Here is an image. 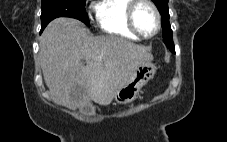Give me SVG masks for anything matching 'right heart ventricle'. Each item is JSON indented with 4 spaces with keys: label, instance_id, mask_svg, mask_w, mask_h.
I'll return each mask as SVG.
<instances>
[{
    "label": "right heart ventricle",
    "instance_id": "obj_1",
    "mask_svg": "<svg viewBox=\"0 0 227 142\" xmlns=\"http://www.w3.org/2000/svg\"><path fill=\"white\" fill-rule=\"evenodd\" d=\"M132 0H100L95 6L99 29L110 36L137 41L139 37L128 27L126 10Z\"/></svg>",
    "mask_w": 227,
    "mask_h": 142
}]
</instances>
